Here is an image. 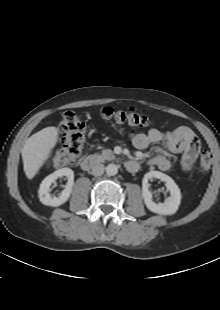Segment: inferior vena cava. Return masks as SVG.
I'll return each instance as SVG.
<instances>
[{
    "mask_svg": "<svg viewBox=\"0 0 220 310\" xmlns=\"http://www.w3.org/2000/svg\"><path fill=\"white\" fill-rule=\"evenodd\" d=\"M104 165L102 163H96L95 165H93L92 167V171L91 174L93 176H101L104 173Z\"/></svg>",
    "mask_w": 220,
    "mask_h": 310,
    "instance_id": "602c4592",
    "label": "inferior vena cava"
}]
</instances>
